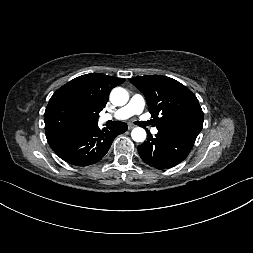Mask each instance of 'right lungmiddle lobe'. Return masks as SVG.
<instances>
[{
    "mask_svg": "<svg viewBox=\"0 0 253 253\" xmlns=\"http://www.w3.org/2000/svg\"><path fill=\"white\" fill-rule=\"evenodd\" d=\"M44 121L47 139L94 124L85 110L71 99L61 96L50 99L45 110Z\"/></svg>",
    "mask_w": 253,
    "mask_h": 253,
    "instance_id": "1",
    "label": "right lung middle lobe"
}]
</instances>
